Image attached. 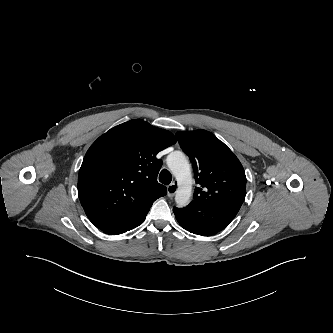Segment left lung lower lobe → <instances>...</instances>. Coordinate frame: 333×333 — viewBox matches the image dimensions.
<instances>
[{
	"label": "left lung lower lobe",
	"instance_id": "obj_1",
	"mask_svg": "<svg viewBox=\"0 0 333 333\" xmlns=\"http://www.w3.org/2000/svg\"><path fill=\"white\" fill-rule=\"evenodd\" d=\"M243 201L239 195H223L192 201L185 208H173L179 224L187 231L210 236L223 230L236 216Z\"/></svg>",
	"mask_w": 333,
	"mask_h": 333
}]
</instances>
